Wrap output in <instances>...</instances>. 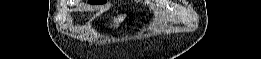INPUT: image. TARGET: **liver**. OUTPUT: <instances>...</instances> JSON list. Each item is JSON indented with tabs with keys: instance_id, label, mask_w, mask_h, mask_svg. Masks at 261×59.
Masks as SVG:
<instances>
[{
	"instance_id": "liver-1",
	"label": "liver",
	"mask_w": 261,
	"mask_h": 59,
	"mask_svg": "<svg viewBox=\"0 0 261 59\" xmlns=\"http://www.w3.org/2000/svg\"><path fill=\"white\" fill-rule=\"evenodd\" d=\"M119 23H120V20H117L115 27H118Z\"/></svg>"
}]
</instances>
